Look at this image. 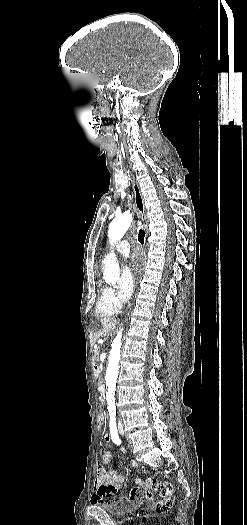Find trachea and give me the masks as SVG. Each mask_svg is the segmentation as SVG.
Listing matches in <instances>:
<instances>
[{"label": "trachea", "instance_id": "1", "mask_svg": "<svg viewBox=\"0 0 247 525\" xmlns=\"http://www.w3.org/2000/svg\"><path fill=\"white\" fill-rule=\"evenodd\" d=\"M144 238H145V232H144V230L142 228H140L139 233H138V241L142 245L144 243Z\"/></svg>", "mask_w": 247, "mask_h": 525}]
</instances>
